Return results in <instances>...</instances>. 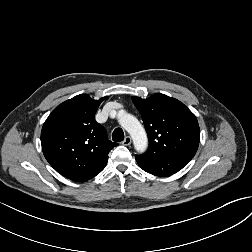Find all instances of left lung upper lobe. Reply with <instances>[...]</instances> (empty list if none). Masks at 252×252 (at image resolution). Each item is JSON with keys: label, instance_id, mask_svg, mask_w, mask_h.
I'll return each mask as SVG.
<instances>
[{"label": "left lung upper lobe", "instance_id": "obj_1", "mask_svg": "<svg viewBox=\"0 0 252 252\" xmlns=\"http://www.w3.org/2000/svg\"><path fill=\"white\" fill-rule=\"evenodd\" d=\"M132 101L142 115L149 139L148 150L140 156L194 157L200 129L195 115L182 102L161 93L148 99L133 96Z\"/></svg>", "mask_w": 252, "mask_h": 252}]
</instances>
